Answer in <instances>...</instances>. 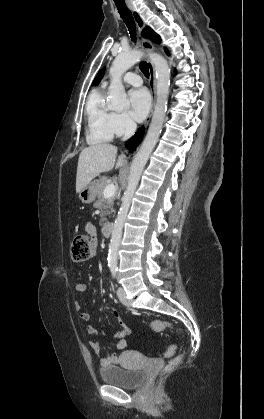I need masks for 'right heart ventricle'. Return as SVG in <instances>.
I'll return each mask as SVG.
<instances>
[{
    "instance_id": "e07e8e85",
    "label": "right heart ventricle",
    "mask_w": 264,
    "mask_h": 419,
    "mask_svg": "<svg viewBox=\"0 0 264 419\" xmlns=\"http://www.w3.org/2000/svg\"><path fill=\"white\" fill-rule=\"evenodd\" d=\"M112 113L105 101L104 87L93 90L86 104V140L89 144H100L112 139Z\"/></svg>"
}]
</instances>
